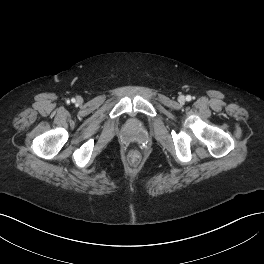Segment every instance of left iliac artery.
Masks as SVG:
<instances>
[{
  "label": "left iliac artery",
  "mask_w": 264,
  "mask_h": 264,
  "mask_svg": "<svg viewBox=\"0 0 264 264\" xmlns=\"http://www.w3.org/2000/svg\"><path fill=\"white\" fill-rule=\"evenodd\" d=\"M192 98H191V96L190 95H188L187 97H186V100L187 101H190Z\"/></svg>",
  "instance_id": "left-iliac-artery-1"
}]
</instances>
